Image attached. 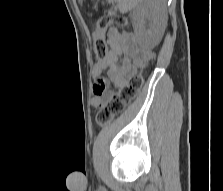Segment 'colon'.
I'll list each match as a JSON object with an SVG mask.
<instances>
[{"label":"colon","instance_id":"1","mask_svg":"<svg viewBox=\"0 0 223 191\" xmlns=\"http://www.w3.org/2000/svg\"><path fill=\"white\" fill-rule=\"evenodd\" d=\"M115 22L118 27H127V20L124 17H102L97 22L96 30L93 34L94 50L96 53V61L92 62L91 66L94 67L92 74L93 78H101L105 73L108 66L107 63V42L106 32L109 26ZM143 85V78L141 73L133 76L129 81L120 88V90L113 95L107 104L101 108L97 115L96 120L100 125H105L112 121L117 115L122 113L126 107L136 98Z\"/></svg>","mask_w":223,"mask_h":191}]
</instances>
